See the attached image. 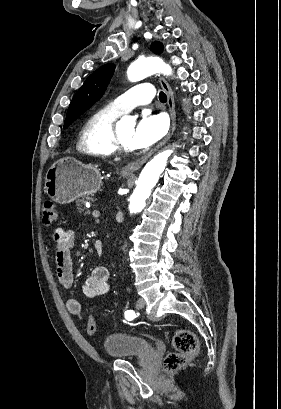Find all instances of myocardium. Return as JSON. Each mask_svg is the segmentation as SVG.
I'll list each match as a JSON object with an SVG mask.
<instances>
[{"label": "myocardium", "mask_w": 281, "mask_h": 409, "mask_svg": "<svg viewBox=\"0 0 281 409\" xmlns=\"http://www.w3.org/2000/svg\"><path fill=\"white\" fill-rule=\"evenodd\" d=\"M108 146L112 155L115 156L125 157L135 152V149H128L123 146L119 135L118 124L116 123H114L110 128Z\"/></svg>", "instance_id": "f54148a6"}]
</instances>
